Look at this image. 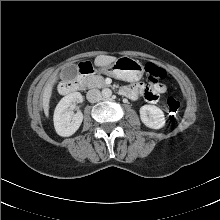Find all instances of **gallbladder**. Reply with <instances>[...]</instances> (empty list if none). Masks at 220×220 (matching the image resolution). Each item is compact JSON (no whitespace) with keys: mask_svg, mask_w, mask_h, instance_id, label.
<instances>
[{"mask_svg":"<svg viewBox=\"0 0 220 220\" xmlns=\"http://www.w3.org/2000/svg\"><path fill=\"white\" fill-rule=\"evenodd\" d=\"M78 74V67L75 64L69 65L65 70H64V76L66 78L74 79Z\"/></svg>","mask_w":220,"mask_h":220,"instance_id":"bac80fb5","label":"gallbladder"}]
</instances>
